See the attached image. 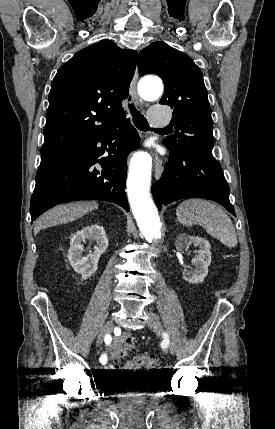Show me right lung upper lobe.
Returning a JSON list of instances; mask_svg holds the SVG:
<instances>
[{
    "instance_id": "1",
    "label": "right lung upper lobe",
    "mask_w": 275,
    "mask_h": 429,
    "mask_svg": "<svg viewBox=\"0 0 275 429\" xmlns=\"http://www.w3.org/2000/svg\"><path fill=\"white\" fill-rule=\"evenodd\" d=\"M137 53L102 40L77 52L51 84L41 155L118 127L127 119L128 95Z\"/></svg>"
}]
</instances>
